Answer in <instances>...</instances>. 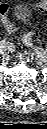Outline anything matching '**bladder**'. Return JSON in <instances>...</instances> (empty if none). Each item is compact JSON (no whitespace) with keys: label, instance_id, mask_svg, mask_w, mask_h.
<instances>
[{"label":"bladder","instance_id":"1","mask_svg":"<svg viewBox=\"0 0 47 129\" xmlns=\"http://www.w3.org/2000/svg\"><path fill=\"white\" fill-rule=\"evenodd\" d=\"M14 16L19 22H27L30 17V12L25 6L17 5L14 10Z\"/></svg>","mask_w":47,"mask_h":129}]
</instances>
